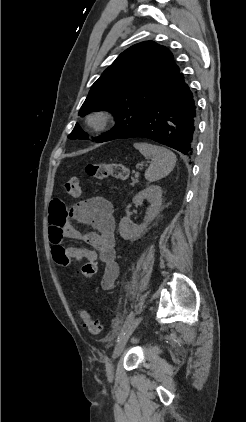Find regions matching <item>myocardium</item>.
Wrapping results in <instances>:
<instances>
[{"label": "myocardium", "instance_id": "obj_1", "mask_svg": "<svg viewBox=\"0 0 246 422\" xmlns=\"http://www.w3.org/2000/svg\"><path fill=\"white\" fill-rule=\"evenodd\" d=\"M112 122V115L105 110H96L88 114L86 124L94 132L106 130Z\"/></svg>", "mask_w": 246, "mask_h": 422}]
</instances>
